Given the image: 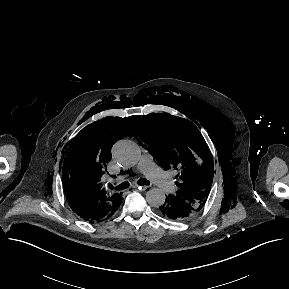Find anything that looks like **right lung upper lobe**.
<instances>
[{"mask_svg":"<svg viewBox=\"0 0 289 289\" xmlns=\"http://www.w3.org/2000/svg\"><path fill=\"white\" fill-rule=\"evenodd\" d=\"M129 118L111 117L85 127L64 153L62 179L67 201L90 223L100 222L120 206L121 194L107 193L100 180L113 144L130 132Z\"/></svg>","mask_w":289,"mask_h":289,"instance_id":"right-lung-upper-lobe-1","label":"right lung upper lobe"}]
</instances>
